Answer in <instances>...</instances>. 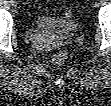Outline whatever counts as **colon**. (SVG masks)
<instances>
[{
  "mask_svg": "<svg viewBox=\"0 0 111 106\" xmlns=\"http://www.w3.org/2000/svg\"><path fill=\"white\" fill-rule=\"evenodd\" d=\"M71 15V9L69 8L66 11V16L69 17ZM67 60V54L65 52H58L53 57V62L58 65H62Z\"/></svg>",
  "mask_w": 111,
  "mask_h": 106,
  "instance_id": "obj_1",
  "label": "colon"
}]
</instances>
